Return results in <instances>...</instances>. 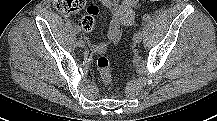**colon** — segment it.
Returning <instances> with one entry per match:
<instances>
[{
    "mask_svg": "<svg viewBox=\"0 0 217 121\" xmlns=\"http://www.w3.org/2000/svg\"><path fill=\"white\" fill-rule=\"evenodd\" d=\"M158 2L160 0H150ZM54 7L63 14H76L86 6V0H53ZM100 14V9L97 5H89L87 14L83 17L81 25L85 32L93 30L96 19ZM96 68L102 82L105 85H110L112 82L110 62L107 57L99 56L96 59Z\"/></svg>",
    "mask_w": 217,
    "mask_h": 121,
    "instance_id": "1",
    "label": "colon"
}]
</instances>
